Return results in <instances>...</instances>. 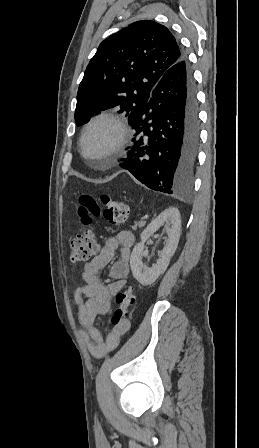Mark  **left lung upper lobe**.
I'll return each instance as SVG.
<instances>
[{
    "label": "left lung upper lobe",
    "mask_w": 259,
    "mask_h": 448,
    "mask_svg": "<svg viewBox=\"0 0 259 448\" xmlns=\"http://www.w3.org/2000/svg\"><path fill=\"white\" fill-rule=\"evenodd\" d=\"M182 56L168 28L151 20L111 35L99 45L79 85L76 125L116 106L126 117L145 107L157 82Z\"/></svg>",
    "instance_id": "left-lung-upper-lobe-1"
}]
</instances>
